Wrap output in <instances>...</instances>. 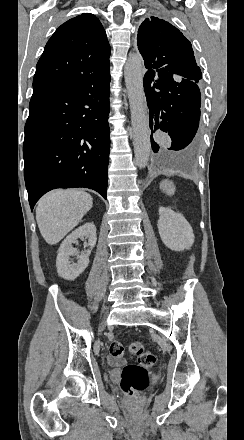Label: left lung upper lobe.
<instances>
[{
    "label": "left lung upper lobe",
    "instance_id": "left-lung-upper-lobe-1",
    "mask_svg": "<svg viewBox=\"0 0 244 440\" xmlns=\"http://www.w3.org/2000/svg\"><path fill=\"white\" fill-rule=\"evenodd\" d=\"M137 45L147 69L168 72L177 79H201L191 43L167 21L146 18L139 27Z\"/></svg>",
    "mask_w": 244,
    "mask_h": 440
}]
</instances>
